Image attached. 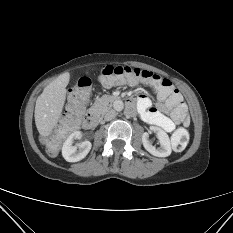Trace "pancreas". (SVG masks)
Instances as JSON below:
<instances>
[{
	"label": "pancreas",
	"instance_id": "1",
	"mask_svg": "<svg viewBox=\"0 0 233 233\" xmlns=\"http://www.w3.org/2000/svg\"><path fill=\"white\" fill-rule=\"evenodd\" d=\"M115 99L116 97L110 95H103L100 98H96L94 104L89 109V113L96 116L103 115L110 109Z\"/></svg>",
	"mask_w": 233,
	"mask_h": 233
}]
</instances>
